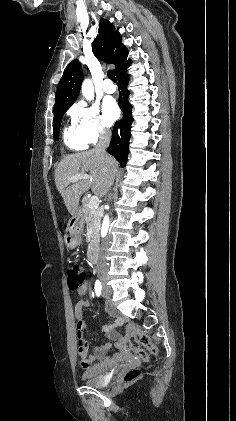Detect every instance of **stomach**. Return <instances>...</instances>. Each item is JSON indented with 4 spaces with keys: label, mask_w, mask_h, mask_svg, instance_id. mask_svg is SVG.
<instances>
[{
    "label": "stomach",
    "mask_w": 236,
    "mask_h": 421,
    "mask_svg": "<svg viewBox=\"0 0 236 421\" xmlns=\"http://www.w3.org/2000/svg\"><path fill=\"white\" fill-rule=\"evenodd\" d=\"M75 219L78 221V225H82L83 227V215L81 211H78ZM65 245L68 247V249H75L78 245L77 237L76 235H73V233H66L65 235Z\"/></svg>",
    "instance_id": "stomach-1"
}]
</instances>
